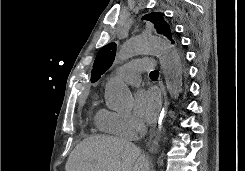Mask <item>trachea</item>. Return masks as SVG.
<instances>
[{
  "label": "trachea",
  "instance_id": "3493384b",
  "mask_svg": "<svg viewBox=\"0 0 245 171\" xmlns=\"http://www.w3.org/2000/svg\"><path fill=\"white\" fill-rule=\"evenodd\" d=\"M159 75V72L158 71H152L150 73V78H154V77H157Z\"/></svg>",
  "mask_w": 245,
  "mask_h": 171
}]
</instances>
